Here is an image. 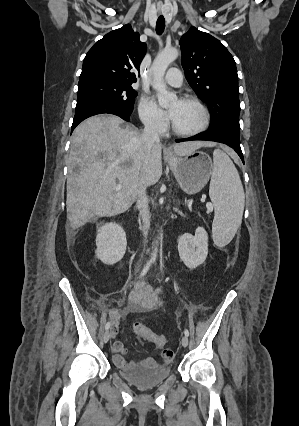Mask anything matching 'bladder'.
Here are the masks:
<instances>
[{
    "instance_id": "bladder-1",
    "label": "bladder",
    "mask_w": 299,
    "mask_h": 426,
    "mask_svg": "<svg viewBox=\"0 0 299 426\" xmlns=\"http://www.w3.org/2000/svg\"><path fill=\"white\" fill-rule=\"evenodd\" d=\"M118 374L129 384L139 389H151L162 384L171 374V369L169 366L119 369Z\"/></svg>"
}]
</instances>
